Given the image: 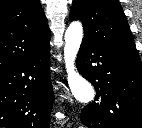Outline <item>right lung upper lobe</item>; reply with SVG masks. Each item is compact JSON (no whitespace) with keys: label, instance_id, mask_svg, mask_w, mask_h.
Instances as JSON below:
<instances>
[{"label":"right lung upper lobe","instance_id":"1","mask_svg":"<svg viewBox=\"0 0 142 128\" xmlns=\"http://www.w3.org/2000/svg\"><path fill=\"white\" fill-rule=\"evenodd\" d=\"M50 37L39 0H0V73L40 53Z\"/></svg>","mask_w":142,"mask_h":128}]
</instances>
